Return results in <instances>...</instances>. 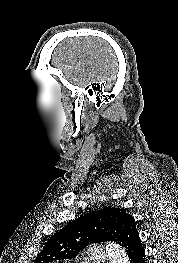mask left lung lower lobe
Returning <instances> with one entry per match:
<instances>
[{
    "instance_id": "0a47b994",
    "label": "left lung lower lobe",
    "mask_w": 178,
    "mask_h": 263,
    "mask_svg": "<svg viewBox=\"0 0 178 263\" xmlns=\"http://www.w3.org/2000/svg\"><path fill=\"white\" fill-rule=\"evenodd\" d=\"M118 244L126 249L131 263H146L144 260L145 250L133 217L128 219Z\"/></svg>"
}]
</instances>
